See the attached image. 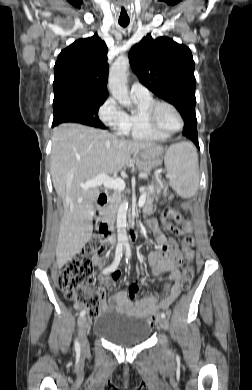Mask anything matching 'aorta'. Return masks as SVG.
<instances>
[{"instance_id":"obj_1","label":"aorta","mask_w":252,"mask_h":390,"mask_svg":"<svg viewBox=\"0 0 252 390\" xmlns=\"http://www.w3.org/2000/svg\"><path fill=\"white\" fill-rule=\"evenodd\" d=\"M129 68V59L126 56L119 57L109 70L108 89L113 97L122 106L132 107L127 88V71ZM128 201L125 198L120 204L117 213V238L122 244L128 243L126 232Z\"/></svg>"}]
</instances>
